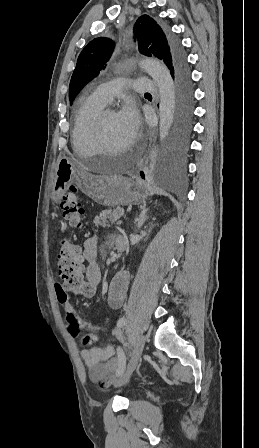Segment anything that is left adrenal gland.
<instances>
[{
    "label": "left adrenal gland",
    "instance_id": "left-adrenal-gland-1",
    "mask_svg": "<svg viewBox=\"0 0 259 448\" xmlns=\"http://www.w3.org/2000/svg\"><path fill=\"white\" fill-rule=\"evenodd\" d=\"M148 210H146V208H144V210H142L139 218H138V222L136 224L137 228H141V226H143L145 220H147L148 216H146Z\"/></svg>",
    "mask_w": 259,
    "mask_h": 448
}]
</instances>
